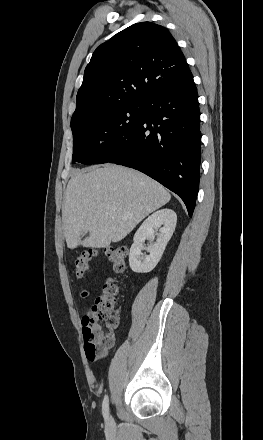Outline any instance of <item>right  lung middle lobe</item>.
I'll use <instances>...</instances> for the list:
<instances>
[{"instance_id": "dd1d6c3e", "label": "right lung middle lobe", "mask_w": 263, "mask_h": 440, "mask_svg": "<svg viewBox=\"0 0 263 440\" xmlns=\"http://www.w3.org/2000/svg\"><path fill=\"white\" fill-rule=\"evenodd\" d=\"M143 117V102L107 108L84 117L74 128L72 163L100 164L126 139Z\"/></svg>"}]
</instances>
